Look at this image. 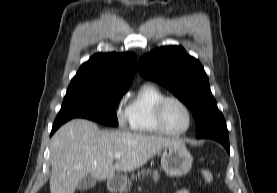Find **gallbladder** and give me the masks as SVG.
Wrapping results in <instances>:
<instances>
[{
  "label": "gallbladder",
  "mask_w": 277,
  "mask_h": 193,
  "mask_svg": "<svg viewBox=\"0 0 277 193\" xmlns=\"http://www.w3.org/2000/svg\"><path fill=\"white\" fill-rule=\"evenodd\" d=\"M96 185V180L91 176L83 178L76 186L77 190L85 191L93 188Z\"/></svg>",
  "instance_id": "1"
}]
</instances>
